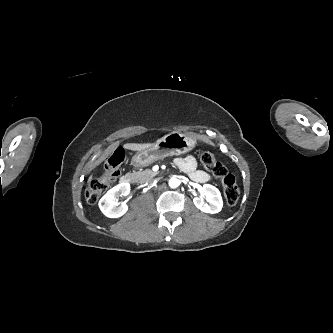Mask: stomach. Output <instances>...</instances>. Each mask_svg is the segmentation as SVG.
<instances>
[{"instance_id": "1", "label": "stomach", "mask_w": 333, "mask_h": 333, "mask_svg": "<svg viewBox=\"0 0 333 333\" xmlns=\"http://www.w3.org/2000/svg\"><path fill=\"white\" fill-rule=\"evenodd\" d=\"M196 141L178 131H173L158 139L150 148L139 151L131 160L135 167H145L159 159L180 155L191 151Z\"/></svg>"}]
</instances>
